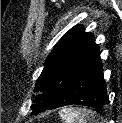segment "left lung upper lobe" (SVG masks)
<instances>
[{"label":"left lung upper lobe","mask_w":122,"mask_h":123,"mask_svg":"<svg viewBox=\"0 0 122 123\" xmlns=\"http://www.w3.org/2000/svg\"><path fill=\"white\" fill-rule=\"evenodd\" d=\"M97 54L99 48L94 36L82 26H74L60 39L48 56L34 91L47 93L37 98L31 115L49 109L66 91L73 78ZM42 101V103H38Z\"/></svg>","instance_id":"1"}]
</instances>
